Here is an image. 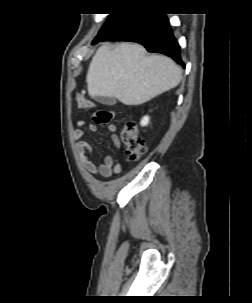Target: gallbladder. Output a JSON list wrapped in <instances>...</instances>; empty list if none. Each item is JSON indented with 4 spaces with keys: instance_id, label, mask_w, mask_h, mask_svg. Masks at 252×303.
Here are the masks:
<instances>
[{
    "instance_id": "1",
    "label": "gallbladder",
    "mask_w": 252,
    "mask_h": 303,
    "mask_svg": "<svg viewBox=\"0 0 252 303\" xmlns=\"http://www.w3.org/2000/svg\"><path fill=\"white\" fill-rule=\"evenodd\" d=\"M94 99L101 104L109 105V106L115 105L117 102L114 97L96 96L94 97Z\"/></svg>"
}]
</instances>
